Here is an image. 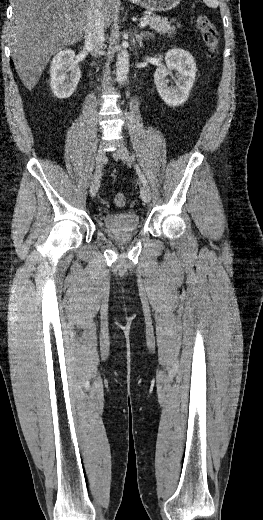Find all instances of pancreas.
Returning a JSON list of instances; mask_svg holds the SVG:
<instances>
[{
	"mask_svg": "<svg viewBox=\"0 0 263 520\" xmlns=\"http://www.w3.org/2000/svg\"><path fill=\"white\" fill-rule=\"evenodd\" d=\"M149 21L148 26L150 29L155 30L158 33H172L175 31V27L171 26V21L169 22L167 18H162L157 15H144L140 21ZM174 22V19L172 20ZM180 27V24H178Z\"/></svg>",
	"mask_w": 263,
	"mask_h": 520,
	"instance_id": "obj_1",
	"label": "pancreas"
}]
</instances>
